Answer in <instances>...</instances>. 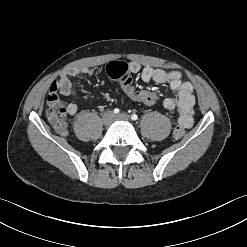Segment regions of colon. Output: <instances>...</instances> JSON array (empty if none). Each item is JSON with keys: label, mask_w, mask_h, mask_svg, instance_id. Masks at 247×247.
<instances>
[{"label": "colon", "mask_w": 247, "mask_h": 247, "mask_svg": "<svg viewBox=\"0 0 247 247\" xmlns=\"http://www.w3.org/2000/svg\"><path fill=\"white\" fill-rule=\"evenodd\" d=\"M106 72L111 78L120 81L121 88L129 99L141 102L144 106H154L157 103L158 95L155 92L138 90L132 84V74L129 73L126 63L111 62L107 65ZM47 105V117L50 123L58 132L66 133V105L60 100L57 91L50 89L47 96ZM184 135L185 129L183 126L178 125L174 128L172 136L175 140H180Z\"/></svg>", "instance_id": "1"}]
</instances>
